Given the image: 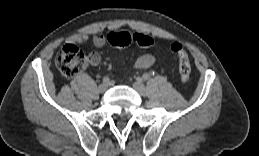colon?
I'll list each match as a JSON object with an SVG mask.
<instances>
[{
  "mask_svg": "<svg viewBox=\"0 0 259 156\" xmlns=\"http://www.w3.org/2000/svg\"><path fill=\"white\" fill-rule=\"evenodd\" d=\"M108 40L112 45L120 49L131 44L144 48L153 44V39L150 36L138 32H112L108 34ZM170 49L179 59V74L182 82H188L191 65L187 52L183 45L178 42L172 43ZM56 64L63 77L72 78L86 68L87 58L78 47L66 44L57 53Z\"/></svg>",
  "mask_w": 259,
  "mask_h": 156,
  "instance_id": "5ec220e1",
  "label": "colon"
}]
</instances>
